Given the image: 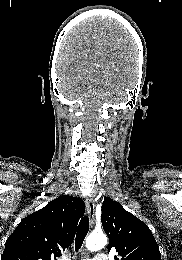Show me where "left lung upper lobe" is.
<instances>
[{"mask_svg":"<svg viewBox=\"0 0 182 260\" xmlns=\"http://www.w3.org/2000/svg\"><path fill=\"white\" fill-rule=\"evenodd\" d=\"M101 210L103 229L109 237L108 252H118L115 260H161L159 246L143 221L107 197Z\"/></svg>","mask_w":182,"mask_h":260,"instance_id":"5c2ea615","label":"left lung upper lobe"}]
</instances>
